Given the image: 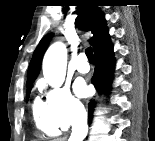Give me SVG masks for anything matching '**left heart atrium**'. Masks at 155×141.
<instances>
[{
    "label": "left heart atrium",
    "mask_w": 155,
    "mask_h": 141,
    "mask_svg": "<svg viewBox=\"0 0 155 141\" xmlns=\"http://www.w3.org/2000/svg\"><path fill=\"white\" fill-rule=\"evenodd\" d=\"M74 90L76 94L80 97L87 94V86L82 80H77L74 85Z\"/></svg>",
    "instance_id": "left-heart-atrium-1"
}]
</instances>
